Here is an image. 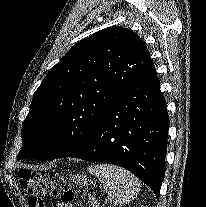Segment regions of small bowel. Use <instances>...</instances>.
Masks as SVG:
<instances>
[{"label": "small bowel", "mask_w": 206, "mask_h": 207, "mask_svg": "<svg viewBox=\"0 0 206 207\" xmlns=\"http://www.w3.org/2000/svg\"><path fill=\"white\" fill-rule=\"evenodd\" d=\"M57 207H73L71 204H66V203H58Z\"/></svg>", "instance_id": "obj_1"}]
</instances>
